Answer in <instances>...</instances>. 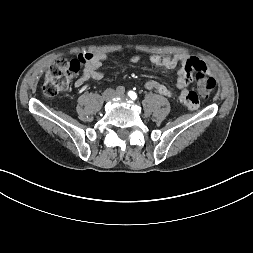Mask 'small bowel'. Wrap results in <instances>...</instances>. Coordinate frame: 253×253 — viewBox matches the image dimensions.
I'll return each mask as SVG.
<instances>
[{
	"label": "small bowel",
	"instance_id": "1",
	"mask_svg": "<svg viewBox=\"0 0 253 253\" xmlns=\"http://www.w3.org/2000/svg\"><path fill=\"white\" fill-rule=\"evenodd\" d=\"M106 59L107 55L105 53L99 52L91 54V58L88 60L83 74L75 82L76 87L83 86L89 80H101L104 75L101 71H99V68ZM188 60L189 58L183 54H178L173 57L160 55H153L150 57V62L153 65L164 70H171L180 66L176 81V86L181 91L179 100L191 111H199L202 108L200 95L195 91L188 90V86L191 82L190 72L192 71L191 67L187 64ZM130 61L136 64L140 61V56L135 55L130 59ZM144 87L149 91L155 90L162 96L169 98L173 97L172 90L157 80H147Z\"/></svg>",
	"mask_w": 253,
	"mask_h": 253
}]
</instances>
